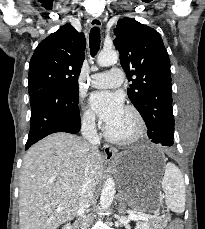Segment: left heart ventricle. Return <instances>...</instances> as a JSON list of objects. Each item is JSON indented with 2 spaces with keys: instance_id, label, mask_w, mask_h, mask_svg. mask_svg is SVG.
I'll list each match as a JSON object with an SVG mask.
<instances>
[{
  "instance_id": "left-heart-ventricle-1",
  "label": "left heart ventricle",
  "mask_w": 205,
  "mask_h": 229,
  "mask_svg": "<svg viewBox=\"0 0 205 229\" xmlns=\"http://www.w3.org/2000/svg\"><path fill=\"white\" fill-rule=\"evenodd\" d=\"M107 128L116 136H127L134 131L135 121L134 118L126 110H124L119 119L108 125Z\"/></svg>"
}]
</instances>
